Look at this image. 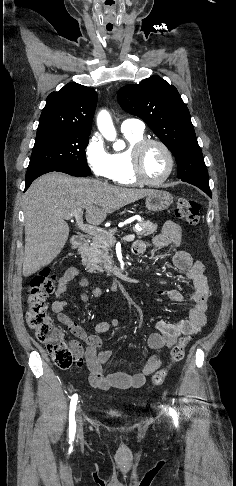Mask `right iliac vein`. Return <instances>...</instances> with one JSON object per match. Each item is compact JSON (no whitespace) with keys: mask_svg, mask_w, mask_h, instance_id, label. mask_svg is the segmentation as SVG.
Masks as SVG:
<instances>
[{"mask_svg":"<svg viewBox=\"0 0 236 486\" xmlns=\"http://www.w3.org/2000/svg\"><path fill=\"white\" fill-rule=\"evenodd\" d=\"M76 422H77L78 435H81L83 431V419L79 414V412L76 413Z\"/></svg>","mask_w":236,"mask_h":486,"instance_id":"obj_1","label":"right iliac vein"}]
</instances>
